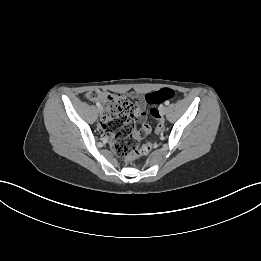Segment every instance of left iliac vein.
<instances>
[{
  "instance_id": "obj_1",
  "label": "left iliac vein",
  "mask_w": 261,
  "mask_h": 261,
  "mask_svg": "<svg viewBox=\"0 0 261 261\" xmlns=\"http://www.w3.org/2000/svg\"><path fill=\"white\" fill-rule=\"evenodd\" d=\"M166 111H167V107H166V106H161V107H160V113H161V115H165Z\"/></svg>"
}]
</instances>
